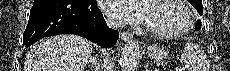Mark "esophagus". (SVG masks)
<instances>
[{
	"mask_svg": "<svg viewBox=\"0 0 230 71\" xmlns=\"http://www.w3.org/2000/svg\"><path fill=\"white\" fill-rule=\"evenodd\" d=\"M121 40L128 41L132 38V34L129 31H123L120 35Z\"/></svg>",
	"mask_w": 230,
	"mask_h": 71,
	"instance_id": "esophagus-1",
	"label": "esophagus"
}]
</instances>
